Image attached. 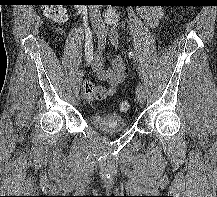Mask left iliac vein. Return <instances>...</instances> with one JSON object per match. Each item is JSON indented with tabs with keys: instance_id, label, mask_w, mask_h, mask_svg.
I'll return each mask as SVG.
<instances>
[{
	"instance_id": "4c4485c4",
	"label": "left iliac vein",
	"mask_w": 217,
	"mask_h": 197,
	"mask_svg": "<svg viewBox=\"0 0 217 197\" xmlns=\"http://www.w3.org/2000/svg\"><path fill=\"white\" fill-rule=\"evenodd\" d=\"M103 32L108 35V30L106 29L105 26H103ZM136 97H137V100L140 102V103H143L146 99V93H145V89H144V86L139 83L137 86H136Z\"/></svg>"
}]
</instances>
